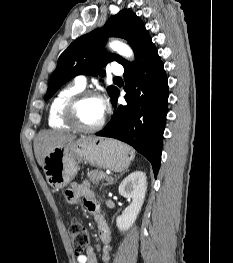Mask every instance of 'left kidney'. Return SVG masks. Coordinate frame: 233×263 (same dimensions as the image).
Returning <instances> with one entry per match:
<instances>
[{
    "label": "left kidney",
    "instance_id": "obj_1",
    "mask_svg": "<svg viewBox=\"0 0 233 263\" xmlns=\"http://www.w3.org/2000/svg\"><path fill=\"white\" fill-rule=\"evenodd\" d=\"M146 174L136 171L129 174L119 185V194L132 199L131 204L116 218V225L120 231L128 230L141 210L147 190Z\"/></svg>",
    "mask_w": 233,
    "mask_h": 263
}]
</instances>
